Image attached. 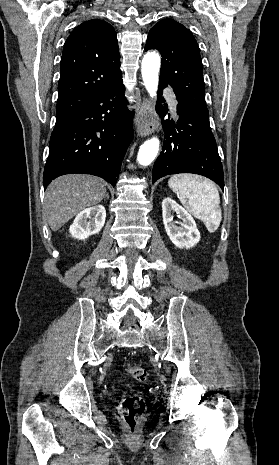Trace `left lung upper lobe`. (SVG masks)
Wrapping results in <instances>:
<instances>
[{"label": "left lung upper lobe", "mask_w": 279, "mask_h": 465, "mask_svg": "<svg viewBox=\"0 0 279 465\" xmlns=\"http://www.w3.org/2000/svg\"><path fill=\"white\" fill-rule=\"evenodd\" d=\"M162 56L160 81L170 85L178 101L209 119L203 65L192 33L173 19L159 21L149 32L145 50Z\"/></svg>", "instance_id": "left-lung-upper-lobe-1"}]
</instances>
